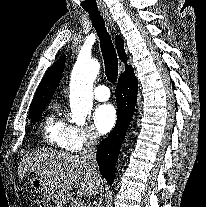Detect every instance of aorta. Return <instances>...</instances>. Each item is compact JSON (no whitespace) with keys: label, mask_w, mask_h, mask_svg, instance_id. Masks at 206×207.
Returning <instances> with one entry per match:
<instances>
[{"label":"aorta","mask_w":206,"mask_h":207,"mask_svg":"<svg viewBox=\"0 0 206 207\" xmlns=\"http://www.w3.org/2000/svg\"><path fill=\"white\" fill-rule=\"evenodd\" d=\"M100 63L97 60L78 57L70 82L71 121L83 125L92 110L93 82L99 73Z\"/></svg>","instance_id":"1"}]
</instances>
